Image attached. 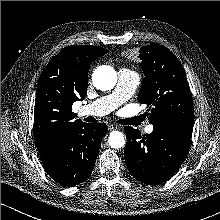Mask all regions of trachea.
<instances>
[{"instance_id": "obj_1", "label": "trachea", "mask_w": 220, "mask_h": 220, "mask_svg": "<svg viewBox=\"0 0 220 220\" xmlns=\"http://www.w3.org/2000/svg\"><path fill=\"white\" fill-rule=\"evenodd\" d=\"M119 123L120 124H129L130 121H129V119H122V120H119Z\"/></svg>"}]
</instances>
